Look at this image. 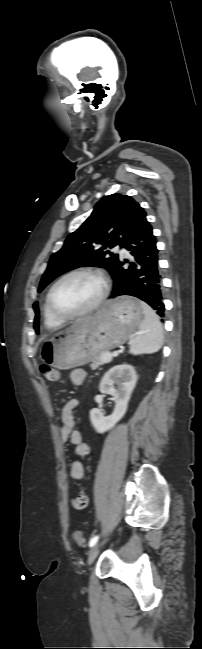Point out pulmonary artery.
Here are the masks:
<instances>
[{"label":"pulmonary artery","instance_id":"e3ab8cb5","mask_svg":"<svg viewBox=\"0 0 202 649\" xmlns=\"http://www.w3.org/2000/svg\"><path fill=\"white\" fill-rule=\"evenodd\" d=\"M117 249H120L122 253H126V250L124 248H121L120 246H117Z\"/></svg>","mask_w":202,"mask_h":649}]
</instances>
